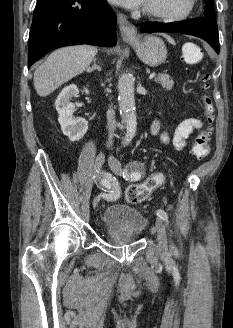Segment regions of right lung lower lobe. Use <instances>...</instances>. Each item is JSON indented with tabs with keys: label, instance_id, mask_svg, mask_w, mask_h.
Listing matches in <instances>:
<instances>
[{
	"label": "right lung lower lobe",
	"instance_id": "right-lung-lower-lobe-1",
	"mask_svg": "<svg viewBox=\"0 0 233 328\" xmlns=\"http://www.w3.org/2000/svg\"><path fill=\"white\" fill-rule=\"evenodd\" d=\"M116 44V17L105 0H37L28 40V68L69 45Z\"/></svg>",
	"mask_w": 233,
	"mask_h": 328
}]
</instances>
